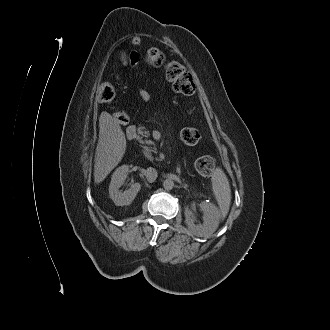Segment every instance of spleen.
Here are the masks:
<instances>
[{
    "instance_id": "1",
    "label": "spleen",
    "mask_w": 330,
    "mask_h": 330,
    "mask_svg": "<svg viewBox=\"0 0 330 330\" xmlns=\"http://www.w3.org/2000/svg\"><path fill=\"white\" fill-rule=\"evenodd\" d=\"M212 188L220 209V216L224 219L230 209L231 189L228 178L221 168H216L212 175Z\"/></svg>"
}]
</instances>
